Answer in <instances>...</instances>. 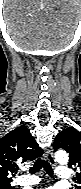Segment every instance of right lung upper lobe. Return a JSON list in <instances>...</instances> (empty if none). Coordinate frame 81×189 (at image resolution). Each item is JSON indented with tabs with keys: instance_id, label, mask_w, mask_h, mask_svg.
Masks as SVG:
<instances>
[{
	"instance_id": "cb5924a9",
	"label": "right lung upper lobe",
	"mask_w": 81,
	"mask_h": 189,
	"mask_svg": "<svg viewBox=\"0 0 81 189\" xmlns=\"http://www.w3.org/2000/svg\"><path fill=\"white\" fill-rule=\"evenodd\" d=\"M43 154L42 149L27 127H17L0 139V186L12 182L11 176L19 169L18 164L34 160Z\"/></svg>"
}]
</instances>
